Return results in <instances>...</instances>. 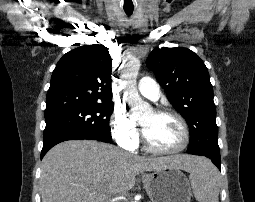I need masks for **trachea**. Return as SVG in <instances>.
<instances>
[{
  "label": "trachea",
  "mask_w": 255,
  "mask_h": 202,
  "mask_svg": "<svg viewBox=\"0 0 255 202\" xmlns=\"http://www.w3.org/2000/svg\"><path fill=\"white\" fill-rule=\"evenodd\" d=\"M125 13L128 15V16H131L132 13H133V8L131 9H124Z\"/></svg>",
  "instance_id": "1"
}]
</instances>
